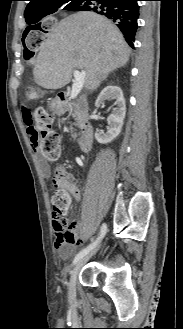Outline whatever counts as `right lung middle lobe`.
<instances>
[{"label": "right lung middle lobe", "mask_w": 183, "mask_h": 329, "mask_svg": "<svg viewBox=\"0 0 183 329\" xmlns=\"http://www.w3.org/2000/svg\"><path fill=\"white\" fill-rule=\"evenodd\" d=\"M79 1H81V0H61V1H57V2L53 3L48 8V10H46L43 14L32 17L30 19V21H26L28 24H34L30 28H27V31H29L30 29H40V26H39L40 23L37 24V22H39L43 17H45L49 14L56 13L61 10H70Z\"/></svg>", "instance_id": "obj_1"}]
</instances>
